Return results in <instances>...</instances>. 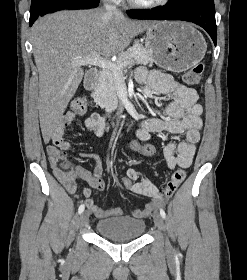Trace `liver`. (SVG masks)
Masks as SVG:
<instances>
[{
  "label": "liver",
  "mask_w": 247,
  "mask_h": 280,
  "mask_svg": "<svg viewBox=\"0 0 247 280\" xmlns=\"http://www.w3.org/2000/svg\"><path fill=\"white\" fill-rule=\"evenodd\" d=\"M155 21H132L103 9L60 11L39 18L31 28L39 73L38 110L42 136L48 143L84 72L72 62L90 54L111 57Z\"/></svg>",
  "instance_id": "liver-1"
}]
</instances>
